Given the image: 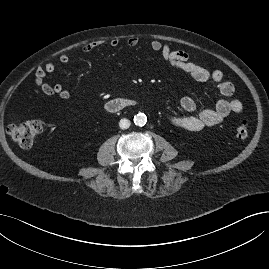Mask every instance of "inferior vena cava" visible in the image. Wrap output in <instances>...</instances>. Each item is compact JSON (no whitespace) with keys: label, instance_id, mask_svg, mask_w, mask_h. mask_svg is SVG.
<instances>
[{"label":"inferior vena cava","instance_id":"inferior-vena-cava-1","mask_svg":"<svg viewBox=\"0 0 269 269\" xmlns=\"http://www.w3.org/2000/svg\"><path fill=\"white\" fill-rule=\"evenodd\" d=\"M119 126L121 129H127L130 127V121L126 118L121 119L119 122Z\"/></svg>","mask_w":269,"mask_h":269}]
</instances>
